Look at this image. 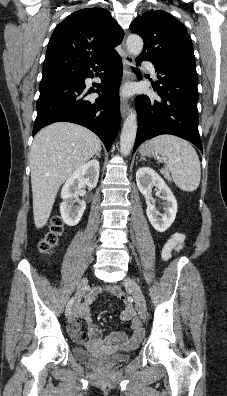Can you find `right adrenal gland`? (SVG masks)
Segmentation results:
<instances>
[{
	"mask_svg": "<svg viewBox=\"0 0 227 396\" xmlns=\"http://www.w3.org/2000/svg\"><path fill=\"white\" fill-rule=\"evenodd\" d=\"M95 156H97L98 158H101L100 151H98V152L95 154Z\"/></svg>",
	"mask_w": 227,
	"mask_h": 396,
	"instance_id": "2a0ac1e0",
	"label": "right adrenal gland"
}]
</instances>
